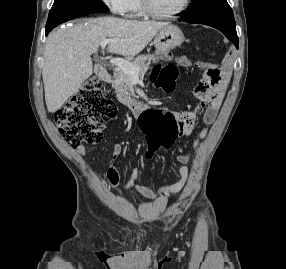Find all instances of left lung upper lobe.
Here are the masks:
<instances>
[{"mask_svg":"<svg viewBox=\"0 0 286 269\" xmlns=\"http://www.w3.org/2000/svg\"><path fill=\"white\" fill-rule=\"evenodd\" d=\"M180 19L185 22L214 21L235 25L233 12L226 0H192Z\"/></svg>","mask_w":286,"mask_h":269,"instance_id":"obj_1","label":"left lung upper lobe"}]
</instances>
